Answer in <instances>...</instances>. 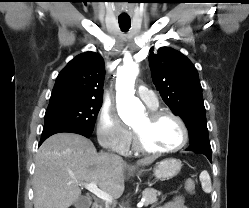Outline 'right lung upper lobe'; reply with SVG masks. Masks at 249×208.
<instances>
[{"label":"right lung upper lobe","mask_w":249,"mask_h":208,"mask_svg":"<svg viewBox=\"0 0 249 208\" xmlns=\"http://www.w3.org/2000/svg\"><path fill=\"white\" fill-rule=\"evenodd\" d=\"M105 67L95 52L73 58L59 73L48 107L67 102L102 101Z\"/></svg>","instance_id":"1"}]
</instances>
